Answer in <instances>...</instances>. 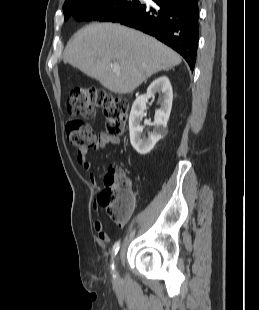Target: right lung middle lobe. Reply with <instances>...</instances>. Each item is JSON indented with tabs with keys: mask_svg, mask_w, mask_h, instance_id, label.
<instances>
[{
	"mask_svg": "<svg viewBox=\"0 0 259 310\" xmlns=\"http://www.w3.org/2000/svg\"><path fill=\"white\" fill-rule=\"evenodd\" d=\"M141 5L138 0H101L89 4L64 5L63 12L65 20L73 15L78 21L119 22Z\"/></svg>",
	"mask_w": 259,
	"mask_h": 310,
	"instance_id": "dd1d6c3e",
	"label": "right lung middle lobe"
}]
</instances>
